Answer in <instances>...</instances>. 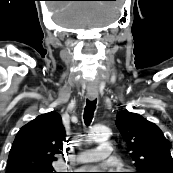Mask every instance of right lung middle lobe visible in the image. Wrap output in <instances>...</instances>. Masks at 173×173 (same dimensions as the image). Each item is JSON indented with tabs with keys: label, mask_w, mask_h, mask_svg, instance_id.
I'll return each mask as SVG.
<instances>
[{
	"label": "right lung middle lobe",
	"mask_w": 173,
	"mask_h": 173,
	"mask_svg": "<svg viewBox=\"0 0 173 173\" xmlns=\"http://www.w3.org/2000/svg\"><path fill=\"white\" fill-rule=\"evenodd\" d=\"M53 168L50 169H43V170H38V171H32V173H54Z\"/></svg>",
	"instance_id": "1"
}]
</instances>
